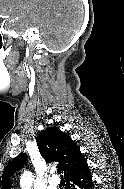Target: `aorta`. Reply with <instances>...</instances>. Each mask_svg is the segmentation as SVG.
<instances>
[{"label": "aorta", "mask_w": 124, "mask_h": 189, "mask_svg": "<svg viewBox=\"0 0 124 189\" xmlns=\"http://www.w3.org/2000/svg\"><path fill=\"white\" fill-rule=\"evenodd\" d=\"M32 174L29 171L23 173L20 179V185L22 189H31Z\"/></svg>", "instance_id": "762f6f07"}]
</instances>
